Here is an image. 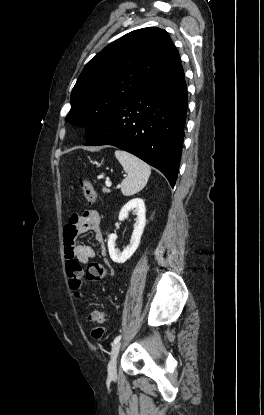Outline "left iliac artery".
Here are the masks:
<instances>
[{
    "label": "left iliac artery",
    "instance_id": "obj_1",
    "mask_svg": "<svg viewBox=\"0 0 264 415\" xmlns=\"http://www.w3.org/2000/svg\"><path fill=\"white\" fill-rule=\"evenodd\" d=\"M121 335H118L115 339H114V341H113V344H116L117 342H119L120 341V339H121Z\"/></svg>",
    "mask_w": 264,
    "mask_h": 415
}]
</instances>
